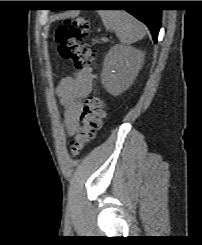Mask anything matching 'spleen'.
Returning a JSON list of instances; mask_svg holds the SVG:
<instances>
[{"instance_id":"obj_1","label":"spleen","mask_w":202,"mask_h":245,"mask_svg":"<svg viewBox=\"0 0 202 245\" xmlns=\"http://www.w3.org/2000/svg\"><path fill=\"white\" fill-rule=\"evenodd\" d=\"M106 30L115 32L123 44H131L146 35V28L125 11L100 10L98 12Z\"/></svg>"}]
</instances>
